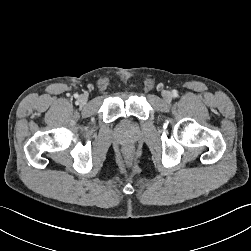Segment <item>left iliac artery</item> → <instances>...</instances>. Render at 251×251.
I'll return each mask as SVG.
<instances>
[{
  "instance_id": "obj_1",
  "label": "left iliac artery",
  "mask_w": 251,
  "mask_h": 251,
  "mask_svg": "<svg viewBox=\"0 0 251 251\" xmlns=\"http://www.w3.org/2000/svg\"><path fill=\"white\" fill-rule=\"evenodd\" d=\"M173 95H174V96H176V95H177V92H176V91H174V92H173Z\"/></svg>"
}]
</instances>
